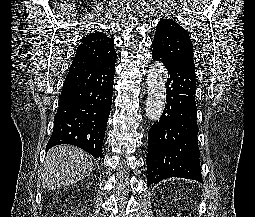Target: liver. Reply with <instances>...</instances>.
Here are the masks:
<instances>
[{"instance_id": "6515ba94", "label": "liver", "mask_w": 255, "mask_h": 217, "mask_svg": "<svg viewBox=\"0 0 255 217\" xmlns=\"http://www.w3.org/2000/svg\"><path fill=\"white\" fill-rule=\"evenodd\" d=\"M93 170V159L83 150L68 146H56L49 150L44 162L42 186L53 190L76 183Z\"/></svg>"}]
</instances>
